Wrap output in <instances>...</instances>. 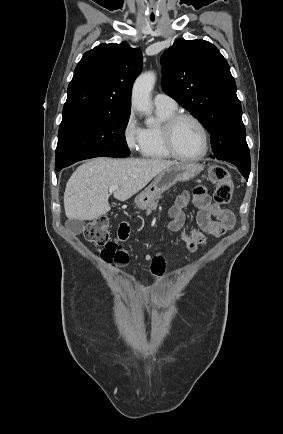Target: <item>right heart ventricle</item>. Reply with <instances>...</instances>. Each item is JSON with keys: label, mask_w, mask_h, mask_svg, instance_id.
I'll return each mask as SVG.
<instances>
[{"label": "right heart ventricle", "mask_w": 283, "mask_h": 434, "mask_svg": "<svg viewBox=\"0 0 283 434\" xmlns=\"http://www.w3.org/2000/svg\"><path fill=\"white\" fill-rule=\"evenodd\" d=\"M174 113H176V109L166 110L156 108L158 123L144 128V140L141 148V154L144 157L157 160L171 157L163 142L162 126Z\"/></svg>", "instance_id": "1"}]
</instances>
